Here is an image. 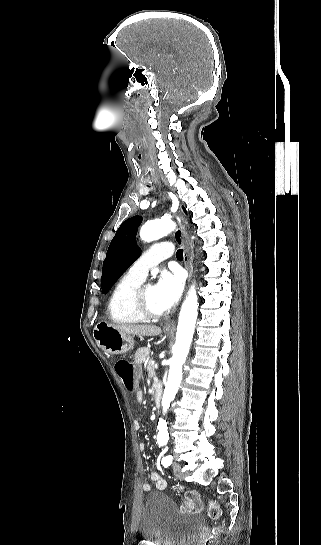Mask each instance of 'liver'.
Masks as SVG:
<instances>
[{"label": "liver", "instance_id": "liver-1", "mask_svg": "<svg viewBox=\"0 0 321 545\" xmlns=\"http://www.w3.org/2000/svg\"><path fill=\"white\" fill-rule=\"evenodd\" d=\"M122 335H137V337H156L162 333L156 325H110Z\"/></svg>", "mask_w": 321, "mask_h": 545}]
</instances>
